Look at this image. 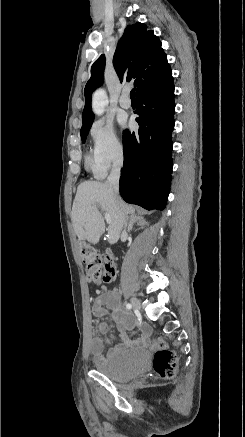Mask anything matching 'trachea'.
<instances>
[{
    "label": "trachea",
    "instance_id": "trachea-1",
    "mask_svg": "<svg viewBox=\"0 0 245 437\" xmlns=\"http://www.w3.org/2000/svg\"><path fill=\"white\" fill-rule=\"evenodd\" d=\"M130 97L134 98L135 97V88H133L130 92Z\"/></svg>",
    "mask_w": 245,
    "mask_h": 437
}]
</instances>
